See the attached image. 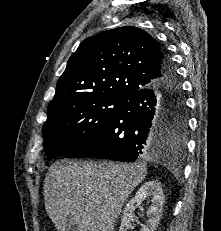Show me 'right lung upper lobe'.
Returning a JSON list of instances; mask_svg holds the SVG:
<instances>
[{
    "label": "right lung upper lobe",
    "mask_w": 221,
    "mask_h": 231,
    "mask_svg": "<svg viewBox=\"0 0 221 231\" xmlns=\"http://www.w3.org/2000/svg\"><path fill=\"white\" fill-rule=\"evenodd\" d=\"M163 49L146 31L125 26L85 39L68 60L48 116L90 96L123 99L162 79Z\"/></svg>",
    "instance_id": "1"
}]
</instances>
